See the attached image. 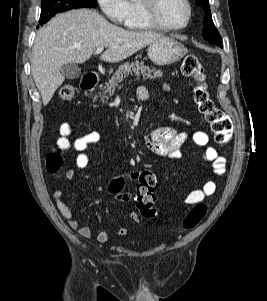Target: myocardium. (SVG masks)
Returning a JSON list of instances; mask_svg holds the SVG:
<instances>
[{
	"label": "myocardium",
	"mask_w": 267,
	"mask_h": 301,
	"mask_svg": "<svg viewBox=\"0 0 267 301\" xmlns=\"http://www.w3.org/2000/svg\"><path fill=\"white\" fill-rule=\"evenodd\" d=\"M183 2L187 9L186 20L181 25L173 26L166 24L159 15L161 0H140L142 12L147 21L154 27L164 31H179L189 25L192 18V6L189 0H183Z\"/></svg>",
	"instance_id": "f54148a6"
}]
</instances>
